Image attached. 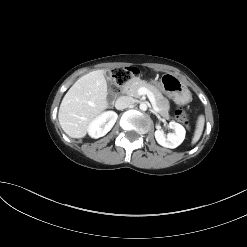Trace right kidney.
Instances as JSON below:
<instances>
[{
    "label": "right kidney",
    "instance_id": "right-kidney-1",
    "mask_svg": "<svg viewBox=\"0 0 247 247\" xmlns=\"http://www.w3.org/2000/svg\"><path fill=\"white\" fill-rule=\"evenodd\" d=\"M118 115L114 111H107L92 120L88 126V134L92 138L106 135L114 126Z\"/></svg>",
    "mask_w": 247,
    "mask_h": 247
}]
</instances>
